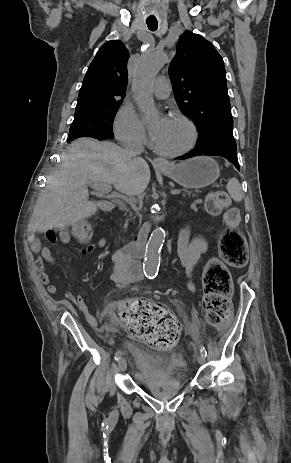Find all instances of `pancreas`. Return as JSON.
Returning <instances> with one entry per match:
<instances>
[{
  "label": "pancreas",
  "instance_id": "obj_1",
  "mask_svg": "<svg viewBox=\"0 0 291 463\" xmlns=\"http://www.w3.org/2000/svg\"><path fill=\"white\" fill-rule=\"evenodd\" d=\"M179 191L182 193L183 198H195L198 196L197 194L198 191L193 192V191H188L187 189H181ZM125 226H127V222Z\"/></svg>",
  "mask_w": 291,
  "mask_h": 463
}]
</instances>
